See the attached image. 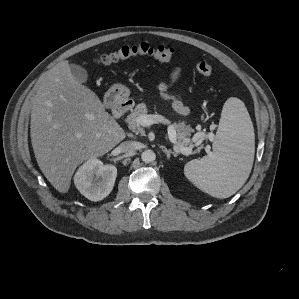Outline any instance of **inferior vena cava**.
<instances>
[{"mask_svg": "<svg viewBox=\"0 0 299 299\" xmlns=\"http://www.w3.org/2000/svg\"><path fill=\"white\" fill-rule=\"evenodd\" d=\"M138 148V143L135 141H125L119 145V150L123 153L134 152Z\"/></svg>", "mask_w": 299, "mask_h": 299, "instance_id": "602c4592", "label": "inferior vena cava"}]
</instances>
